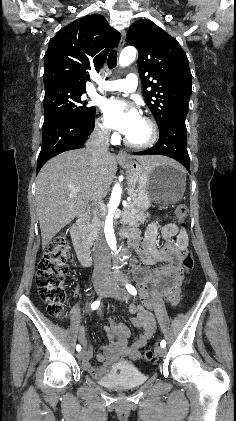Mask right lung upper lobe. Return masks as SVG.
Wrapping results in <instances>:
<instances>
[{"label":"right lung upper lobe","mask_w":236,"mask_h":421,"mask_svg":"<svg viewBox=\"0 0 236 421\" xmlns=\"http://www.w3.org/2000/svg\"><path fill=\"white\" fill-rule=\"evenodd\" d=\"M120 33L106 19L92 14L63 27L50 41L44 56V86L86 91L88 70H99Z\"/></svg>","instance_id":"1"}]
</instances>
